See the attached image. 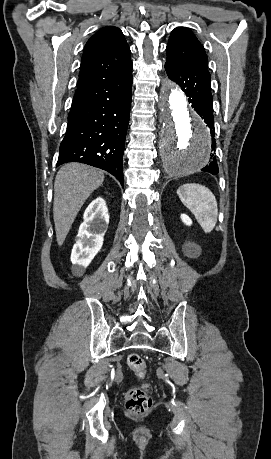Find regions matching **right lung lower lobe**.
<instances>
[{"label":"right lung lower lobe","instance_id":"obj_1","mask_svg":"<svg viewBox=\"0 0 271 459\" xmlns=\"http://www.w3.org/2000/svg\"><path fill=\"white\" fill-rule=\"evenodd\" d=\"M132 82L131 72L73 99L57 166L85 163L108 171L124 185L122 157Z\"/></svg>","mask_w":271,"mask_h":459}]
</instances>
